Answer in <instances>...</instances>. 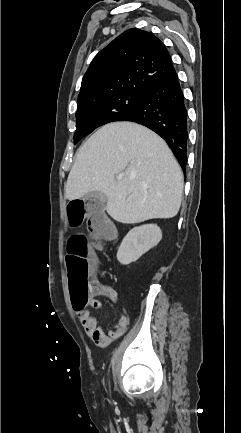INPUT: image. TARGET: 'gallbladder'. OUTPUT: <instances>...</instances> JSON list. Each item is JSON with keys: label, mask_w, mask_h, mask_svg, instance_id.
<instances>
[{"label": "gallbladder", "mask_w": 241, "mask_h": 433, "mask_svg": "<svg viewBox=\"0 0 241 433\" xmlns=\"http://www.w3.org/2000/svg\"><path fill=\"white\" fill-rule=\"evenodd\" d=\"M85 200H98L101 203H104L106 201V195L102 192H98V191H94V192H90L88 194L85 195L84 197ZM101 207L103 208L104 206L101 205Z\"/></svg>", "instance_id": "bac80fb5"}]
</instances>
